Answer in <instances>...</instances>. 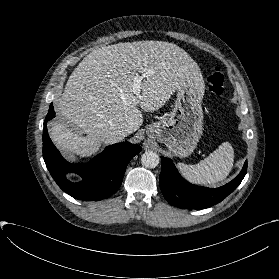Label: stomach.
<instances>
[{
  "label": "stomach",
  "instance_id": "0dacf381",
  "mask_svg": "<svg viewBox=\"0 0 279 279\" xmlns=\"http://www.w3.org/2000/svg\"><path fill=\"white\" fill-rule=\"evenodd\" d=\"M199 100L194 86L180 87L173 109L162 120L149 125L148 135L164 143L173 155L181 158L190 156L203 133Z\"/></svg>",
  "mask_w": 279,
  "mask_h": 279
}]
</instances>
